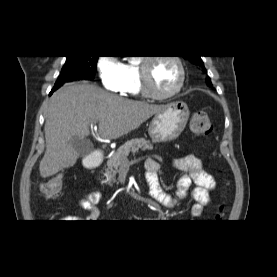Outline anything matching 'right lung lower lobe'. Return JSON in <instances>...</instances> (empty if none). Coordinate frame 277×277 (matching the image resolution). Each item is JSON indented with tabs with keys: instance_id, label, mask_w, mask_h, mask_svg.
Listing matches in <instances>:
<instances>
[{
	"instance_id": "right-lung-lower-lobe-1",
	"label": "right lung lower lobe",
	"mask_w": 277,
	"mask_h": 277,
	"mask_svg": "<svg viewBox=\"0 0 277 277\" xmlns=\"http://www.w3.org/2000/svg\"><path fill=\"white\" fill-rule=\"evenodd\" d=\"M73 78H75L74 80H77V78L76 77H74V76H72ZM67 78H59L57 81H56V83H55V86H54V88L52 89V91L50 92L51 94L57 89V88H59L63 83H65V82H68L67 80H66ZM71 81V80H70Z\"/></svg>"
}]
</instances>
